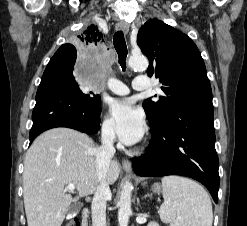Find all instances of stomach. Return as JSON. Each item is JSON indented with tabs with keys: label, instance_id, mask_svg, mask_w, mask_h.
Segmentation results:
<instances>
[{
	"label": "stomach",
	"instance_id": "obj_1",
	"mask_svg": "<svg viewBox=\"0 0 247 226\" xmlns=\"http://www.w3.org/2000/svg\"><path fill=\"white\" fill-rule=\"evenodd\" d=\"M153 192L155 193H160L161 192V187L158 183L154 184L152 187Z\"/></svg>",
	"mask_w": 247,
	"mask_h": 226
}]
</instances>
